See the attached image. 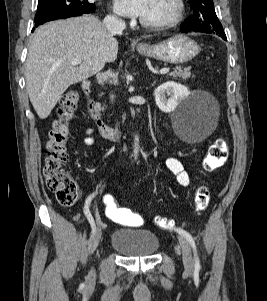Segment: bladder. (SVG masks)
<instances>
[{
  "instance_id": "31cf9c89",
  "label": "bladder",
  "mask_w": 267,
  "mask_h": 301,
  "mask_svg": "<svg viewBox=\"0 0 267 301\" xmlns=\"http://www.w3.org/2000/svg\"><path fill=\"white\" fill-rule=\"evenodd\" d=\"M111 248L126 257L153 255L159 248L158 236L149 230L122 228L111 236Z\"/></svg>"
}]
</instances>
